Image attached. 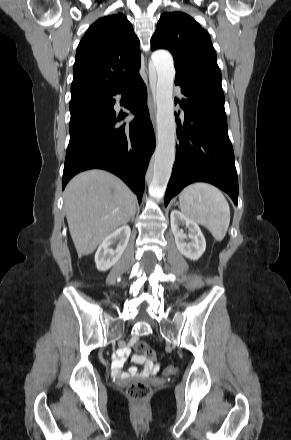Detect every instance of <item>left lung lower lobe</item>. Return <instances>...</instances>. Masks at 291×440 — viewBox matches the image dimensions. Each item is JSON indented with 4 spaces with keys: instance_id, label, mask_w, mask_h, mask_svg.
Returning <instances> with one entry per match:
<instances>
[{
    "instance_id": "obj_1",
    "label": "left lung lower lobe",
    "mask_w": 291,
    "mask_h": 440,
    "mask_svg": "<svg viewBox=\"0 0 291 440\" xmlns=\"http://www.w3.org/2000/svg\"><path fill=\"white\" fill-rule=\"evenodd\" d=\"M176 84L181 86L185 95L180 102L184 109V123L181 127L180 119L175 114L178 143L165 206L185 186L199 181L224 190L237 204L238 178L228 137L224 97Z\"/></svg>"
}]
</instances>
